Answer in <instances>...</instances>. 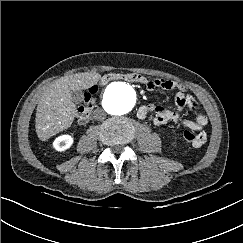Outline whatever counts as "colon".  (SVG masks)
Returning a JSON list of instances; mask_svg holds the SVG:
<instances>
[{
	"label": "colon",
	"instance_id": "obj_1",
	"mask_svg": "<svg viewBox=\"0 0 243 243\" xmlns=\"http://www.w3.org/2000/svg\"><path fill=\"white\" fill-rule=\"evenodd\" d=\"M125 80L134 83H145L146 78L138 73H107L100 79V85H105L112 80ZM98 90L97 86L91 87L84 96V104L80 106L77 110V120L80 124H85L89 121L90 115L93 109V103L95 99V94ZM184 139L189 143H194L196 141V134L190 130H186L183 133Z\"/></svg>",
	"mask_w": 243,
	"mask_h": 243
}]
</instances>
